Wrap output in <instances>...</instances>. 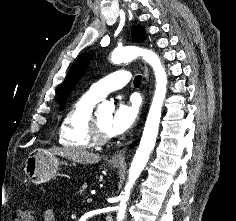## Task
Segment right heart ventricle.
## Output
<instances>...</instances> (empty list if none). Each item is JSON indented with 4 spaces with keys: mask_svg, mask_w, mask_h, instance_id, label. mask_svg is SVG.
<instances>
[{
    "mask_svg": "<svg viewBox=\"0 0 236 221\" xmlns=\"http://www.w3.org/2000/svg\"><path fill=\"white\" fill-rule=\"evenodd\" d=\"M97 102L86 93L72 103L59 126L58 140L63 147L87 150L95 145L89 136V123Z\"/></svg>",
    "mask_w": 236,
    "mask_h": 221,
    "instance_id": "obj_1",
    "label": "right heart ventricle"
}]
</instances>
